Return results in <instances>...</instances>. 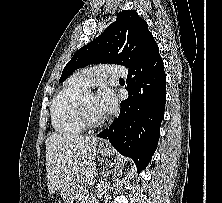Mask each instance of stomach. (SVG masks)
I'll use <instances>...</instances> for the list:
<instances>
[{
    "label": "stomach",
    "mask_w": 222,
    "mask_h": 203,
    "mask_svg": "<svg viewBox=\"0 0 222 203\" xmlns=\"http://www.w3.org/2000/svg\"><path fill=\"white\" fill-rule=\"evenodd\" d=\"M99 151L103 154H111L110 148H105L100 146ZM78 188H79V178H75L74 180L70 181L68 184H66L63 187L61 195L65 200H70L75 196Z\"/></svg>",
    "instance_id": "stomach-1"
}]
</instances>
